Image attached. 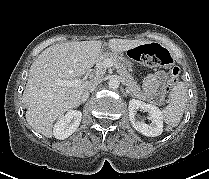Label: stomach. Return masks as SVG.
<instances>
[{"instance_id": "stomach-1", "label": "stomach", "mask_w": 209, "mask_h": 179, "mask_svg": "<svg viewBox=\"0 0 209 179\" xmlns=\"http://www.w3.org/2000/svg\"><path fill=\"white\" fill-rule=\"evenodd\" d=\"M134 62H136V60L133 57H128L127 59L124 60L125 65L129 69H132L133 68Z\"/></svg>"}]
</instances>
